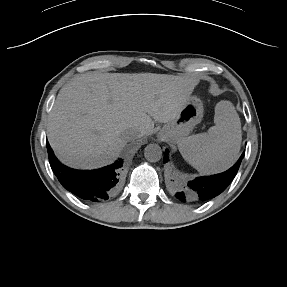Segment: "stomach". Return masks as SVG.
<instances>
[{"mask_svg": "<svg viewBox=\"0 0 287 287\" xmlns=\"http://www.w3.org/2000/svg\"><path fill=\"white\" fill-rule=\"evenodd\" d=\"M203 104L195 96L189 97L180 114L168 122L159 132L161 138L178 143L182 138L188 136L192 129L200 123L203 117Z\"/></svg>", "mask_w": 287, "mask_h": 287, "instance_id": "stomach-1", "label": "stomach"}]
</instances>
